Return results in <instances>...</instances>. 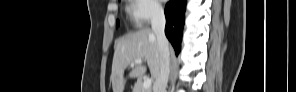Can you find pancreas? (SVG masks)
Wrapping results in <instances>:
<instances>
[{"mask_svg":"<svg viewBox=\"0 0 296 92\" xmlns=\"http://www.w3.org/2000/svg\"><path fill=\"white\" fill-rule=\"evenodd\" d=\"M133 92H151V88L145 89L143 87V82L138 81L137 83H135Z\"/></svg>","mask_w":296,"mask_h":92,"instance_id":"obj_1","label":"pancreas"}]
</instances>
